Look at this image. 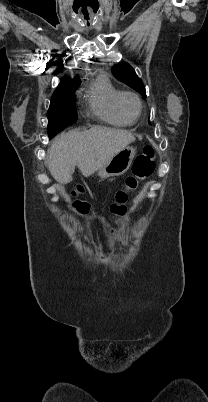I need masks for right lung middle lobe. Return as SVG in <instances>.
<instances>
[{
  "instance_id": "obj_1",
  "label": "right lung middle lobe",
  "mask_w": 208,
  "mask_h": 402,
  "mask_svg": "<svg viewBox=\"0 0 208 402\" xmlns=\"http://www.w3.org/2000/svg\"><path fill=\"white\" fill-rule=\"evenodd\" d=\"M74 92L52 96L47 112L48 123L61 121L69 126L77 120Z\"/></svg>"
}]
</instances>
